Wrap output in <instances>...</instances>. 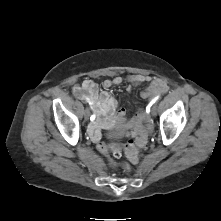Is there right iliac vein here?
I'll list each match as a JSON object with an SVG mask.
<instances>
[{
	"label": "right iliac vein",
	"mask_w": 221,
	"mask_h": 221,
	"mask_svg": "<svg viewBox=\"0 0 221 221\" xmlns=\"http://www.w3.org/2000/svg\"><path fill=\"white\" fill-rule=\"evenodd\" d=\"M89 114H90L89 110L86 109L85 112H84V117H85L86 120H88Z\"/></svg>",
	"instance_id": "right-iliac-vein-1"
}]
</instances>
